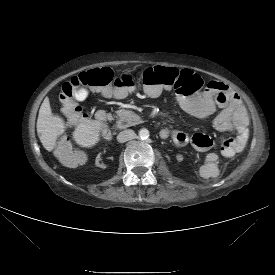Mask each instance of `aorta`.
Instances as JSON below:
<instances>
[{
	"instance_id": "762f6f07",
	"label": "aorta",
	"mask_w": 275,
	"mask_h": 275,
	"mask_svg": "<svg viewBox=\"0 0 275 275\" xmlns=\"http://www.w3.org/2000/svg\"><path fill=\"white\" fill-rule=\"evenodd\" d=\"M139 136L142 139H147L149 137V131L146 128H143L139 131Z\"/></svg>"
}]
</instances>
